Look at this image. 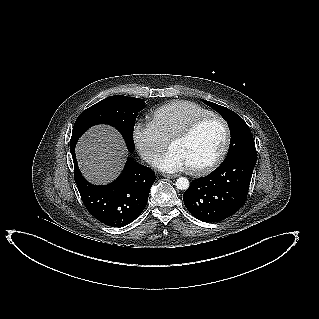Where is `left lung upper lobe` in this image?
Wrapping results in <instances>:
<instances>
[{"instance_id": "left-lung-upper-lobe-1", "label": "left lung upper lobe", "mask_w": 319, "mask_h": 319, "mask_svg": "<svg viewBox=\"0 0 319 319\" xmlns=\"http://www.w3.org/2000/svg\"><path fill=\"white\" fill-rule=\"evenodd\" d=\"M202 102L216 110L229 125L231 142L228 154L223 162L244 156L257 159L253 135L245 121L226 107L206 100H202Z\"/></svg>"}]
</instances>
